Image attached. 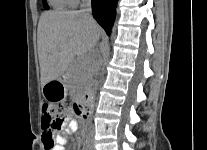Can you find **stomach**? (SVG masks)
<instances>
[{"label":"stomach","mask_w":207,"mask_h":150,"mask_svg":"<svg viewBox=\"0 0 207 150\" xmlns=\"http://www.w3.org/2000/svg\"><path fill=\"white\" fill-rule=\"evenodd\" d=\"M42 94L45 99L59 101L66 97L67 86L63 79L52 80L42 87Z\"/></svg>","instance_id":"obj_1"}]
</instances>
